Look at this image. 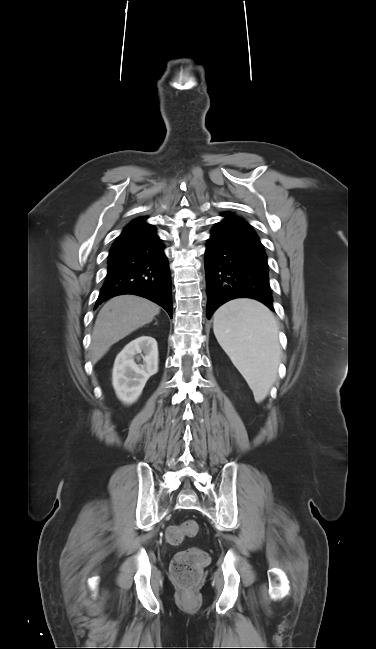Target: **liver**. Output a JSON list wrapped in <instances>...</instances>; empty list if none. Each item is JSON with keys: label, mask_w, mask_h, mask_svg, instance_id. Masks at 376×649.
Listing matches in <instances>:
<instances>
[{"label": "liver", "mask_w": 376, "mask_h": 649, "mask_svg": "<svg viewBox=\"0 0 376 649\" xmlns=\"http://www.w3.org/2000/svg\"><path fill=\"white\" fill-rule=\"evenodd\" d=\"M155 303L135 295L109 300L98 313L91 339V359L97 363L110 347L159 314Z\"/></svg>", "instance_id": "liver-1"}]
</instances>
